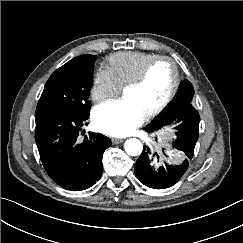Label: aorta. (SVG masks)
I'll return each instance as SVG.
<instances>
[{
  "label": "aorta",
  "mask_w": 243,
  "mask_h": 243,
  "mask_svg": "<svg viewBox=\"0 0 243 243\" xmlns=\"http://www.w3.org/2000/svg\"><path fill=\"white\" fill-rule=\"evenodd\" d=\"M124 148L128 155L138 156L142 153L143 145L140 140L130 138L125 142Z\"/></svg>",
  "instance_id": "1"
}]
</instances>
